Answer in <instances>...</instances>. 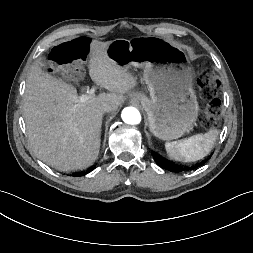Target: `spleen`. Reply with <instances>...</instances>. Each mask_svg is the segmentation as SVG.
<instances>
[{
	"instance_id": "3e777b00",
	"label": "spleen",
	"mask_w": 253,
	"mask_h": 253,
	"mask_svg": "<svg viewBox=\"0 0 253 253\" xmlns=\"http://www.w3.org/2000/svg\"><path fill=\"white\" fill-rule=\"evenodd\" d=\"M218 136L216 129L205 134H196L189 138L166 142L165 149L168 156L176 161L193 162L206 157L212 150Z\"/></svg>"
}]
</instances>
